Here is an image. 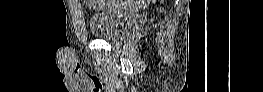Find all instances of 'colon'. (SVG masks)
<instances>
[{
    "label": "colon",
    "instance_id": "obj_1",
    "mask_svg": "<svg viewBox=\"0 0 263 92\" xmlns=\"http://www.w3.org/2000/svg\"><path fill=\"white\" fill-rule=\"evenodd\" d=\"M101 3L100 4H104L105 2H115V1H100ZM118 2V1H117ZM146 2H150V1H146Z\"/></svg>",
    "mask_w": 263,
    "mask_h": 92
}]
</instances>
